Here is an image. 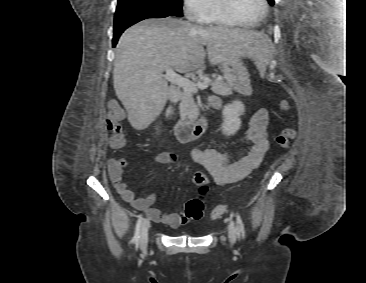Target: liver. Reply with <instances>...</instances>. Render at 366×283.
<instances>
[{"label":"liver","instance_id":"obj_1","mask_svg":"<svg viewBox=\"0 0 366 283\" xmlns=\"http://www.w3.org/2000/svg\"><path fill=\"white\" fill-rule=\"evenodd\" d=\"M265 36L244 28L201 27L182 19H145L129 27L116 46L113 84L131 126L147 128L163 110L169 95L163 72L199 69L206 57L218 65L247 56L257 65L264 59Z\"/></svg>","mask_w":366,"mask_h":283}]
</instances>
